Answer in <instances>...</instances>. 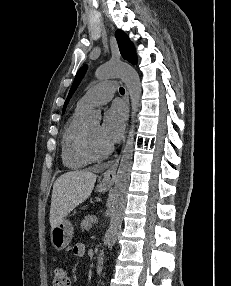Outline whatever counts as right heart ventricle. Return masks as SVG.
I'll list each match as a JSON object with an SVG mask.
<instances>
[{
    "instance_id": "1",
    "label": "right heart ventricle",
    "mask_w": 231,
    "mask_h": 286,
    "mask_svg": "<svg viewBox=\"0 0 231 286\" xmlns=\"http://www.w3.org/2000/svg\"><path fill=\"white\" fill-rule=\"evenodd\" d=\"M85 109L79 107L66 122L61 138V160L63 165L71 170L86 167L89 161L83 157L79 149L81 131L83 129V116Z\"/></svg>"
}]
</instances>
